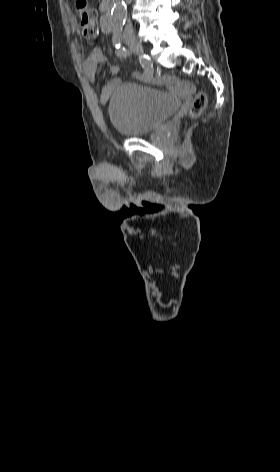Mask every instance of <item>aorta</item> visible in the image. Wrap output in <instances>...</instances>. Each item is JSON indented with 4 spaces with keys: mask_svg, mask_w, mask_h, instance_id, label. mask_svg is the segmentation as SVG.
Listing matches in <instances>:
<instances>
[{
    "mask_svg": "<svg viewBox=\"0 0 280 472\" xmlns=\"http://www.w3.org/2000/svg\"><path fill=\"white\" fill-rule=\"evenodd\" d=\"M127 10L123 1H117L111 11V23L114 28H120L126 19Z\"/></svg>",
    "mask_w": 280,
    "mask_h": 472,
    "instance_id": "1",
    "label": "aorta"
}]
</instances>
